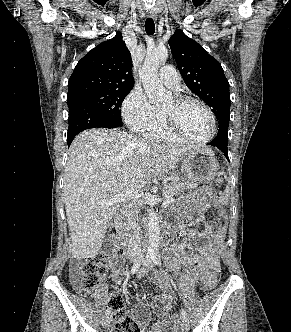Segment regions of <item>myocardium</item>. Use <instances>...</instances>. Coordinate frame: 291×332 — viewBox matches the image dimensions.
<instances>
[{"label": "myocardium", "instance_id": "f54148a6", "mask_svg": "<svg viewBox=\"0 0 291 332\" xmlns=\"http://www.w3.org/2000/svg\"><path fill=\"white\" fill-rule=\"evenodd\" d=\"M174 103L176 107H182L188 103H195L200 105L208 114L210 121H211V131L209 133V135L203 139H195L192 138L188 135H186L184 132H182V130L179 128L176 118L173 114L167 113L165 111H161L165 125L168 129V131L174 135L175 137H177L178 139L184 141V142H189V143H193V144H206L209 141H211L217 132V120H216V116L214 114V112L212 111V109L202 100L195 98V97H191V96H178L175 97L174 99Z\"/></svg>", "mask_w": 291, "mask_h": 332}]
</instances>
